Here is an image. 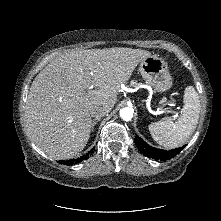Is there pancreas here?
Segmentation results:
<instances>
[{
  "label": "pancreas",
  "mask_w": 221,
  "mask_h": 221,
  "mask_svg": "<svg viewBox=\"0 0 221 221\" xmlns=\"http://www.w3.org/2000/svg\"><path fill=\"white\" fill-rule=\"evenodd\" d=\"M130 85L131 86H138L139 84L136 81H132Z\"/></svg>",
  "instance_id": "1"
}]
</instances>
